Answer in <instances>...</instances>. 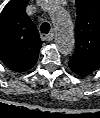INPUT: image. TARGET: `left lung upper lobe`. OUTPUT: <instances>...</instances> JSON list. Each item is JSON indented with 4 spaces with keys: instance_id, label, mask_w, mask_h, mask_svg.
<instances>
[{
    "instance_id": "5c2ea615",
    "label": "left lung upper lobe",
    "mask_w": 100,
    "mask_h": 118,
    "mask_svg": "<svg viewBox=\"0 0 100 118\" xmlns=\"http://www.w3.org/2000/svg\"><path fill=\"white\" fill-rule=\"evenodd\" d=\"M76 47L69 64L90 73L100 68V0H76Z\"/></svg>"
}]
</instances>
